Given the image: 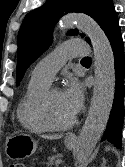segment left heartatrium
Here are the masks:
<instances>
[{
  "label": "left heart atrium",
  "instance_id": "39dd6f15",
  "mask_svg": "<svg viewBox=\"0 0 125 167\" xmlns=\"http://www.w3.org/2000/svg\"><path fill=\"white\" fill-rule=\"evenodd\" d=\"M61 96L65 105L73 115L80 111L83 104V91L77 81L74 79L68 80L61 91Z\"/></svg>",
  "mask_w": 125,
  "mask_h": 167
}]
</instances>
